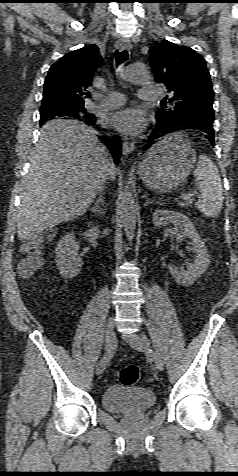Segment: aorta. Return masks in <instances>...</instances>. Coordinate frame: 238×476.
<instances>
[{
	"instance_id": "aorta-1",
	"label": "aorta",
	"mask_w": 238,
	"mask_h": 476,
	"mask_svg": "<svg viewBox=\"0 0 238 476\" xmlns=\"http://www.w3.org/2000/svg\"><path fill=\"white\" fill-rule=\"evenodd\" d=\"M122 77L127 81L139 85H148L151 83V75L149 71L138 65H130L126 67L122 72ZM121 215L126 238L131 242L135 235L137 208L130 186L125 188L122 195Z\"/></svg>"
}]
</instances>
